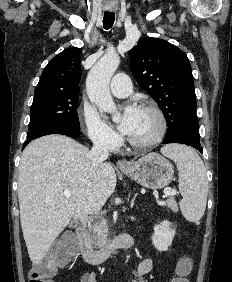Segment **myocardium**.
I'll use <instances>...</instances> for the list:
<instances>
[{
    "instance_id": "1",
    "label": "myocardium",
    "mask_w": 232,
    "mask_h": 282,
    "mask_svg": "<svg viewBox=\"0 0 232 282\" xmlns=\"http://www.w3.org/2000/svg\"><path fill=\"white\" fill-rule=\"evenodd\" d=\"M141 109L149 111L156 116L158 120L157 132L148 140L136 141L128 137L127 142L134 148L145 149L158 144L164 138L167 131V120L163 111L154 103L146 102L142 105Z\"/></svg>"
}]
</instances>
